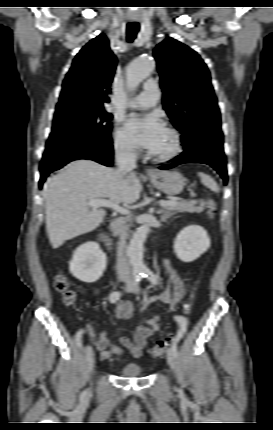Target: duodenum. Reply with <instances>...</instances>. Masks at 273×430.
<instances>
[{"mask_svg":"<svg viewBox=\"0 0 273 430\" xmlns=\"http://www.w3.org/2000/svg\"><path fill=\"white\" fill-rule=\"evenodd\" d=\"M100 239L103 241V243H104L106 246H108L110 249H112V246H111L110 240L108 239V237L106 236V234H105V233H101V234H100Z\"/></svg>","mask_w":273,"mask_h":430,"instance_id":"1","label":"duodenum"}]
</instances>
